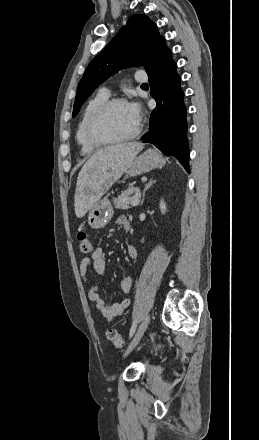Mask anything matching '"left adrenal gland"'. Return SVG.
<instances>
[{
    "label": "left adrenal gland",
    "instance_id": "1",
    "mask_svg": "<svg viewBox=\"0 0 259 440\" xmlns=\"http://www.w3.org/2000/svg\"><path fill=\"white\" fill-rule=\"evenodd\" d=\"M155 182H156V180L150 179V181L145 185V188H144V190H143L142 200H141L140 205H142L143 202H144L146 191H147V190H148V189H149V188H150Z\"/></svg>",
    "mask_w": 259,
    "mask_h": 440
}]
</instances>
